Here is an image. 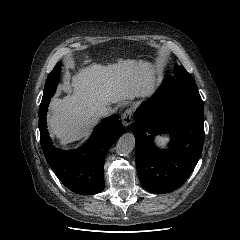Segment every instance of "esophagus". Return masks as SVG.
<instances>
[{
	"label": "esophagus",
	"instance_id": "34e87169",
	"mask_svg": "<svg viewBox=\"0 0 240 240\" xmlns=\"http://www.w3.org/2000/svg\"><path fill=\"white\" fill-rule=\"evenodd\" d=\"M122 123L125 127L129 126L133 119V110L131 108L127 109L121 116Z\"/></svg>",
	"mask_w": 240,
	"mask_h": 240
}]
</instances>
